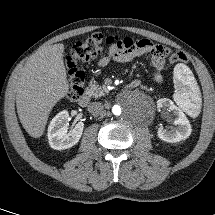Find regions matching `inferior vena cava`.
<instances>
[{"label": "inferior vena cava", "mask_w": 215, "mask_h": 215, "mask_svg": "<svg viewBox=\"0 0 215 215\" xmlns=\"http://www.w3.org/2000/svg\"><path fill=\"white\" fill-rule=\"evenodd\" d=\"M88 111L94 116H99L103 113V104L100 102H92L88 105Z\"/></svg>", "instance_id": "obj_1"}]
</instances>
